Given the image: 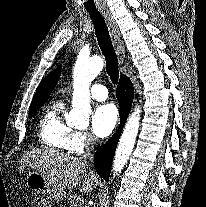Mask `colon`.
<instances>
[{
    "label": "colon",
    "instance_id": "5ec220e1",
    "mask_svg": "<svg viewBox=\"0 0 206 207\" xmlns=\"http://www.w3.org/2000/svg\"><path fill=\"white\" fill-rule=\"evenodd\" d=\"M34 207H48L47 202L41 197L34 198Z\"/></svg>",
    "mask_w": 206,
    "mask_h": 207
}]
</instances>
